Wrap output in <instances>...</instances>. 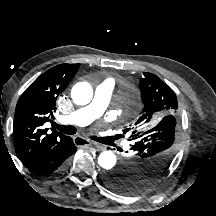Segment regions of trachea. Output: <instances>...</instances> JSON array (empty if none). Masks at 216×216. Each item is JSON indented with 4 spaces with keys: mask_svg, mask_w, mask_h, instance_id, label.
Masks as SVG:
<instances>
[{
    "mask_svg": "<svg viewBox=\"0 0 216 216\" xmlns=\"http://www.w3.org/2000/svg\"><path fill=\"white\" fill-rule=\"evenodd\" d=\"M53 128L59 130L62 133H65L67 135H73L76 133V128L73 126H62V125H58L56 123L52 124ZM95 139V138H93Z\"/></svg>",
    "mask_w": 216,
    "mask_h": 216,
    "instance_id": "1",
    "label": "trachea"
}]
</instances>
